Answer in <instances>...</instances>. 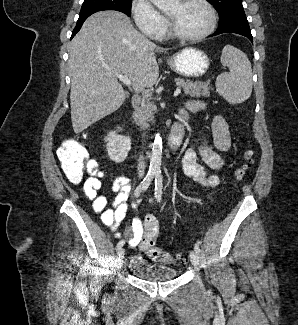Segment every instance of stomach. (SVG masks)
<instances>
[{"mask_svg":"<svg viewBox=\"0 0 298 325\" xmlns=\"http://www.w3.org/2000/svg\"><path fill=\"white\" fill-rule=\"evenodd\" d=\"M167 64L171 70L186 76V78H196L203 76L210 66V58L202 48L196 46H185L172 56H168Z\"/></svg>","mask_w":298,"mask_h":325,"instance_id":"stomach-1","label":"stomach"}]
</instances>
